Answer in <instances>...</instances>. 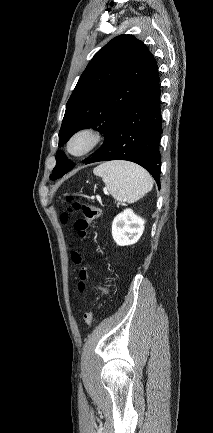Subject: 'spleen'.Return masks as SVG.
I'll return each instance as SVG.
<instances>
[{
  "mask_svg": "<svg viewBox=\"0 0 213 433\" xmlns=\"http://www.w3.org/2000/svg\"><path fill=\"white\" fill-rule=\"evenodd\" d=\"M93 173L102 178L107 191L119 203H134L153 187L150 174L139 165L127 161L105 162L97 166Z\"/></svg>",
  "mask_w": 213,
  "mask_h": 433,
  "instance_id": "spleen-1",
  "label": "spleen"
}]
</instances>
